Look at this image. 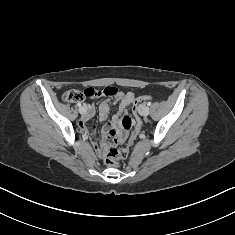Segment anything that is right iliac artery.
I'll use <instances>...</instances> for the list:
<instances>
[{"label":"right iliac artery","instance_id":"obj_1","mask_svg":"<svg viewBox=\"0 0 235 235\" xmlns=\"http://www.w3.org/2000/svg\"><path fill=\"white\" fill-rule=\"evenodd\" d=\"M78 106L81 107V103H78Z\"/></svg>","mask_w":235,"mask_h":235}]
</instances>
